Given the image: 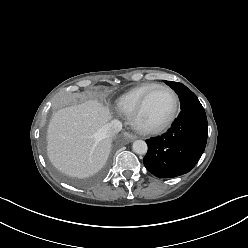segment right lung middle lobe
Segmentation results:
<instances>
[{
    "label": "right lung middle lobe",
    "mask_w": 248,
    "mask_h": 248,
    "mask_svg": "<svg viewBox=\"0 0 248 248\" xmlns=\"http://www.w3.org/2000/svg\"><path fill=\"white\" fill-rule=\"evenodd\" d=\"M109 167V162H107L104 167L94 176L89 177L87 179H77V178H72L70 176L65 175L64 173H62L61 171H59L58 169L53 168V171L55 172V174L60 177L62 180L74 184V185H79V186H89L91 184L96 183L97 181H99L107 172Z\"/></svg>",
    "instance_id": "1"
}]
</instances>
